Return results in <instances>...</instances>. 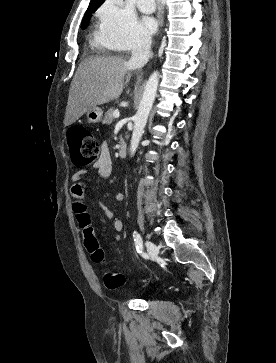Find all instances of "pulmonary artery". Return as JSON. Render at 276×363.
<instances>
[{
	"mask_svg": "<svg viewBox=\"0 0 276 363\" xmlns=\"http://www.w3.org/2000/svg\"><path fill=\"white\" fill-rule=\"evenodd\" d=\"M137 6L144 13H152L155 10L154 0H138Z\"/></svg>",
	"mask_w": 276,
	"mask_h": 363,
	"instance_id": "obj_1",
	"label": "pulmonary artery"
}]
</instances>
